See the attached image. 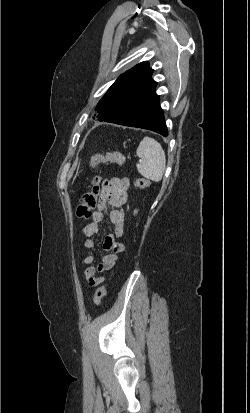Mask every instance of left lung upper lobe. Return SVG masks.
I'll use <instances>...</instances> for the list:
<instances>
[{"label": "left lung upper lobe", "instance_id": "5c2ea615", "mask_svg": "<svg viewBox=\"0 0 250 413\" xmlns=\"http://www.w3.org/2000/svg\"><path fill=\"white\" fill-rule=\"evenodd\" d=\"M152 73L149 63L141 62L120 75L96 106L98 119L117 113L122 101L132 94L138 85L153 82Z\"/></svg>", "mask_w": 250, "mask_h": 413}]
</instances>
